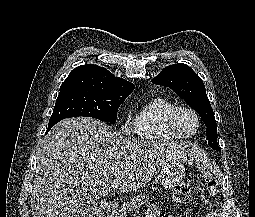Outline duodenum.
Instances as JSON below:
<instances>
[{
  "label": "duodenum",
  "mask_w": 255,
  "mask_h": 217,
  "mask_svg": "<svg viewBox=\"0 0 255 217\" xmlns=\"http://www.w3.org/2000/svg\"><path fill=\"white\" fill-rule=\"evenodd\" d=\"M112 206L109 204H101L97 209V217H110Z\"/></svg>",
  "instance_id": "obj_1"
}]
</instances>
